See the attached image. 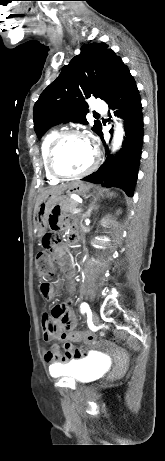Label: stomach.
<instances>
[{
    "label": "stomach",
    "instance_id": "1",
    "mask_svg": "<svg viewBox=\"0 0 165 461\" xmlns=\"http://www.w3.org/2000/svg\"><path fill=\"white\" fill-rule=\"evenodd\" d=\"M89 190V185L83 182H73L68 186L67 193L84 195ZM65 198L63 192L53 193L45 196L39 203L36 212L35 226L40 236L44 235L49 225L48 215L51 214V206L59 204Z\"/></svg>",
    "mask_w": 165,
    "mask_h": 461
}]
</instances>
